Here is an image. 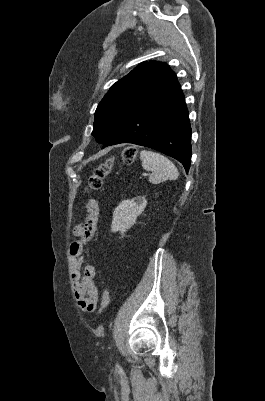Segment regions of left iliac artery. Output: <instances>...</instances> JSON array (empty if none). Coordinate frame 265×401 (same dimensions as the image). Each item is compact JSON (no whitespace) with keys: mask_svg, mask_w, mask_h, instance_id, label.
Masks as SVG:
<instances>
[{"mask_svg":"<svg viewBox=\"0 0 265 401\" xmlns=\"http://www.w3.org/2000/svg\"><path fill=\"white\" fill-rule=\"evenodd\" d=\"M116 367L119 368V365L117 364Z\"/></svg>","mask_w":265,"mask_h":401,"instance_id":"obj_1","label":"left iliac artery"}]
</instances>
